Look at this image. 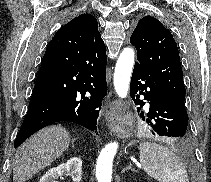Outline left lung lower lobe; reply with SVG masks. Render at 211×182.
Instances as JSON below:
<instances>
[{"instance_id": "left-lung-lower-lobe-1", "label": "left lung lower lobe", "mask_w": 211, "mask_h": 182, "mask_svg": "<svg viewBox=\"0 0 211 182\" xmlns=\"http://www.w3.org/2000/svg\"><path fill=\"white\" fill-rule=\"evenodd\" d=\"M130 96L135 105L141 107L144 100L150 101L147 114V123L150 132L154 136H167L177 138L178 143L184 142L188 126V115L185 106L180 104L172 96L164 92L152 79L137 65L134 66L131 83ZM140 111V108H137ZM144 120V112H141Z\"/></svg>"}]
</instances>
